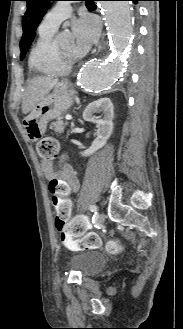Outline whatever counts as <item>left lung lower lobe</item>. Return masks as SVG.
Masks as SVG:
<instances>
[{
	"label": "left lung lower lobe",
	"mask_w": 183,
	"mask_h": 329,
	"mask_svg": "<svg viewBox=\"0 0 183 329\" xmlns=\"http://www.w3.org/2000/svg\"><path fill=\"white\" fill-rule=\"evenodd\" d=\"M131 1H133L134 3H137V2L140 1V0H131Z\"/></svg>",
	"instance_id": "1"
}]
</instances>
